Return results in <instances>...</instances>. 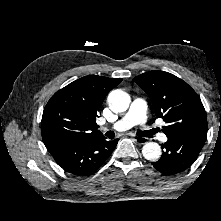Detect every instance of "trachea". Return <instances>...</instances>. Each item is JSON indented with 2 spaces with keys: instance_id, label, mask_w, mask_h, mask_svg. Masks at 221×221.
Listing matches in <instances>:
<instances>
[{
  "instance_id": "obj_1",
  "label": "trachea",
  "mask_w": 221,
  "mask_h": 221,
  "mask_svg": "<svg viewBox=\"0 0 221 221\" xmlns=\"http://www.w3.org/2000/svg\"><path fill=\"white\" fill-rule=\"evenodd\" d=\"M155 132H157L156 130H150V131H139L137 133L138 136H145V137H151ZM108 138L113 139L115 136V133L113 131H108L105 134Z\"/></svg>"
}]
</instances>
